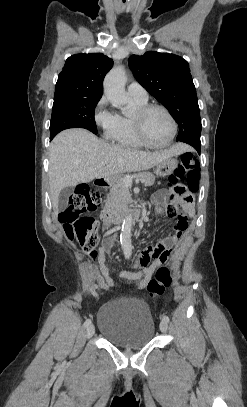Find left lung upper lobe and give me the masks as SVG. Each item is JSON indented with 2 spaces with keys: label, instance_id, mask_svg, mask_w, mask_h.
I'll return each instance as SVG.
<instances>
[{
  "label": "left lung upper lobe",
  "instance_id": "obj_1",
  "mask_svg": "<svg viewBox=\"0 0 247 407\" xmlns=\"http://www.w3.org/2000/svg\"><path fill=\"white\" fill-rule=\"evenodd\" d=\"M129 66L136 80L178 123L176 140L200 138L198 99L187 61L173 54L150 51L143 56H130Z\"/></svg>",
  "mask_w": 247,
  "mask_h": 407
}]
</instances>
